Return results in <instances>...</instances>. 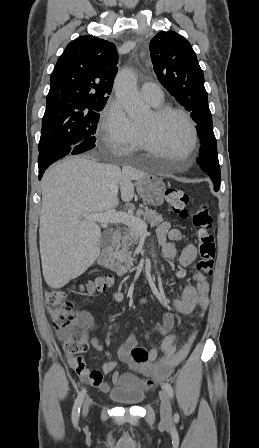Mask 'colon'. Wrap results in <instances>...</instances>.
I'll return each mask as SVG.
<instances>
[{
	"instance_id": "1",
	"label": "colon",
	"mask_w": 259,
	"mask_h": 448,
	"mask_svg": "<svg viewBox=\"0 0 259 448\" xmlns=\"http://www.w3.org/2000/svg\"><path fill=\"white\" fill-rule=\"evenodd\" d=\"M165 197L171 209L184 219H191L197 227L199 261L197 270L211 275L216 254L213 235V220L205 206L191 210L189 196L181 189L170 187ZM178 236V232L173 233ZM113 284L110 277H99L89 281L86 289L89 292L105 291ZM46 308L50 314L53 327L63 341L64 349L71 354H80L87 350V330L91 325V317L86 312H79L67 299L63 291L49 289L45 294ZM131 359L138 364L148 361V351L143 347H134L130 352Z\"/></svg>"
}]
</instances>
